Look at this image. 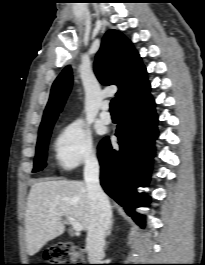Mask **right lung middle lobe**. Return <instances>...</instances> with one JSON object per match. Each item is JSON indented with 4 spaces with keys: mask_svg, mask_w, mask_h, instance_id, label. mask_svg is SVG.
<instances>
[{
    "mask_svg": "<svg viewBox=\"0 0 205 265\" xmlns=\"http://www.w3.org/2000/svg\"><path fill=\"white\" fill-rule=\"evenodd\" d=\"M52 128L53 124L39 131L33 172L40 171L46 166L47 147Z\"/></svg>",
    "mask_w": 205,
    "mask_h": 265,
    "instance_id": "1",
    "label": "right lung middle lobe"
}]
</instances>
